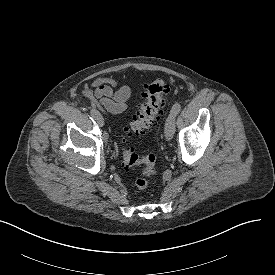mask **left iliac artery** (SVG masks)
I'll return each mask as SVG.
<instances>
[{
    "instance_id": "left-iliac-artery-1",
    "label": "left iliac artery",
    "mask_w": 275,
    "mask_h": 275,
    "mask_svg": "<svg viewBox=\"0 0 275 275\" xmlns=\"http://www.w3.org/2000/svg\"><path fill=\"white\" fill-rule=\"evenodd\" d=\"M181 111V105L179 103H176L173 105L171 113H173L175 116L179 114Z\"/></svg>"
}]
</instances>
